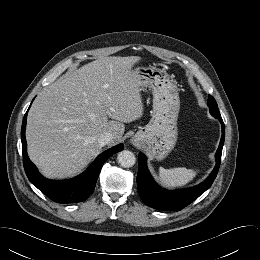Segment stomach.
I'll use <instances>...</instances> for the list:
<instances>
[{"instance_id": "1", "label": "stomach", "mask_w": 260, "mask_h": 260, "mask_svg": "<svg viewBox=\"0 0 260 260\" xmlns=\"http://www.w3.org/2000/svg\"><path fill=\"white\" fill-rule=\"evenodd\" d=\"M134 73L140 88L149 87L153 94L152 118L131 139L151 158L162 160L177 141V119L180 109L177 82L165 70L156 67H136Z\"/></svg>"}]
</instances>
